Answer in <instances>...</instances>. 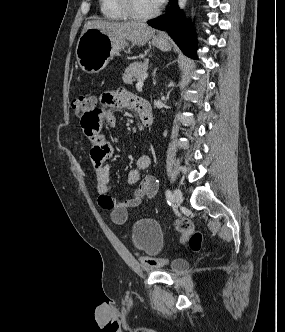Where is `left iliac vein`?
Instances as JSON below:
<instances>
[{"mask_svg": "<svg viewBox=\"0 0 285 332\" xmlns=\"http://www.w3.org/2000/svg\"><path fill=\"white\" fill-rule=\"evenodd\" d=\"M173 201L177 206H180L182 203V192L178 188L174 189L173 191Z\"/></svg>", "mask_w": 285, "mask_h": 332, "instance_id": "left-iliac-vein-1", "label": "left iliac vein"}]
</instances>
